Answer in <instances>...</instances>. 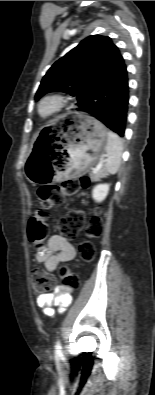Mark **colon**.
<instances>
[{
	"label": "colon",
	"instance_id": "1",
	"mask_svg": "<svg viewBox=\"0 0 155 395\" xmlns=\"http://www.w3.org/2000/svg\"><path fill=\"white\" fill-rule=\"evenodd\" d=\"M88 184L89 178L82 177L68 179L59 184L42 185L37 190V196L42 208L49 210L60 206L66 197L75 195ZM58 229L61 235L67 238H75L84 229L86 239L79 244L80 259L84 262H91L95 258L96 250L91 240L101 237L104 230L100 210H96L87 223L82 211H69L59 220ZM27 232L32 244L41 245L46 238L47 226L41 218L34 217L28 223ZM59 275H61V281L65 282V288L76 289L79 287V277L74 269L59 268ZM32 285L35 293L44 294L54 287L55 279L43 269H36L32 273Z\"/></svg>",
	"mask_w": 155,
	"mask_h": 395
}]
</instances>
